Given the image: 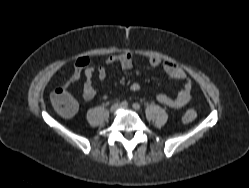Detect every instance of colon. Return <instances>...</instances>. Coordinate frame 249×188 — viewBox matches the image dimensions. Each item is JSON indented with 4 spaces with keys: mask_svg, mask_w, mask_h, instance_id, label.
<instances>
[{
    "mask_svg": "<svg viewBox=\"0 0 249 188\" xmlns=\"http://www.w3.org/2000/svg\"><path fill=\"white\" fill-rule=\"evenodd\" d=\"M50 101L54 109L63 117L69 118L76 114L78 109L77 101L65 88H57L50 95ZM197 117L196 110L190 108L182 116L184 123H191Z\"/></svg>",
    "mask_w": 249,
    "mask_h": 188,
    "instance_id": "1",
    "label": "colon"
}]
</instances>
